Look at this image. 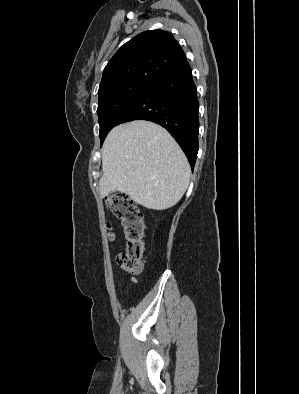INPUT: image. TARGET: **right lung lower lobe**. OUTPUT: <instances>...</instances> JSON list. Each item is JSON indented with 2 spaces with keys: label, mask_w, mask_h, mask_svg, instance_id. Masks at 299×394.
Instances as JSON below:
<instances>
[{
  "label": "right lung lower lobe",
  "mask_w": 299,
  "mask_h": 394,
  "mask_svg": "<svg viewBox=\"0 0 299 394\" xmlns=\"http://www.w3.org/2000/svg\"><path fill=\"white\" fill-rule=\"evenodd\" d=\"M199 102L189 63L154 81L123 113L116 125L148 120L167 129L186 154L193 170L198 153Z\"/></svg>",
  "instance_id": "1"
}]
</instances>
